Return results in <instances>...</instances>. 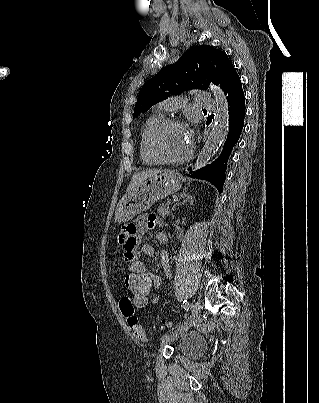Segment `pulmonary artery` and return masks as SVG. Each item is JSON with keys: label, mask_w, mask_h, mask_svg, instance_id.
Here are the masks:
<instances>
[{"label": "pulmonary artery", "mask_w": 319, "mask_h": 403, "mask_svg": "<svg viewBox=\"0 0 319 403\" xmlns=\"http://www.w3.org/2000/svg\"><path fill=\"white\" fill-rule=\"evenodd\" d=\"M196 99L198 100V104L201 107H212L215 102L211 94L199 91L196 93ZM185 101L180 97H171L167 99L165 102L161 103L158 108L163 111H172L177 109L178 107L185 106Z\"/></svg>", "instance_id": "obj_1"}]
</instances>
